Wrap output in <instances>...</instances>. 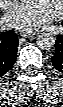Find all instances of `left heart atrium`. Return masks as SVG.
<instances>
[{"mask_svg":"<svg viewBox=\"0 0 63 107\" xmlns=\"http://www.w3.org/2000/svg\"><path fill=\"white\" fill-rule=\"evenodd\" d=\"M31 14L32 12L28 9H18L12 14L11 19L14 22L21 23L26 27H32L40 21L35 17L32 18Z\"/></svg>","mask_w":63,"mask_h":107,"instance_id":"left-heart-atrium-1","label":"left heart atrium"}]
</instances>
